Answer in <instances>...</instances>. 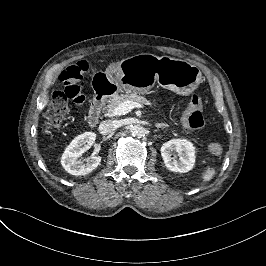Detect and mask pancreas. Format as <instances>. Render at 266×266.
<instances>
[{
    "instance_id": "cf45deb5",
    "label": "pancreas",
    "mask_w": 266,
    "mask_h": 266,
    "mask_svg": "<svg viewBox=\"0 0 266 266\" xmlns=\"http://www.w3.org/2000/svg\"><path fill=\"white\" fill-rule=\"evenodd\" d=\"M125 100L133 101L135 103H141V104L146 105L148 107H155V104L153 103V101L151 99H148V98H146L144 96H140V95L130 94V95H124V96L118 97L116 100L112 101L108 105V108H113V107L117 106L120 102H123ZM155 111L158 115L163 116V113L159 108H156Z\"/></svg>"
}]
</instances>
